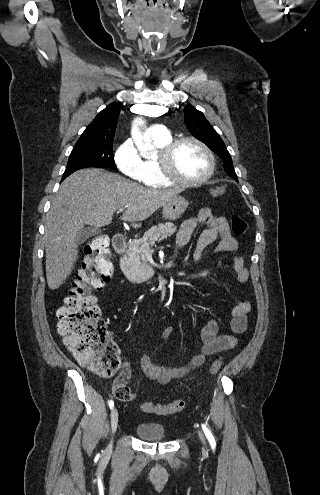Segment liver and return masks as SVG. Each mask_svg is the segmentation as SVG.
I'll return each instance as SVG.
<instances>
[{"label": "liver", "mask_w": 320, "mask_h": 495, "mask_svg": "<svg viewBox=\"0 0 320 495\" xmlns=\"http://www.w3.org/2000/svg\"><path fill=\"white\" fill-rule=\"evenodd\" d=\"M180 190L147 189L100 169L79 170L67 177L52 201L45 223L46 278L59 288L78 258L76 236L84 225L103 227L113 213L126 207L121 220L140 228L143 220Z\"/></svg>", "instance_id": "1"}]
</instances>
